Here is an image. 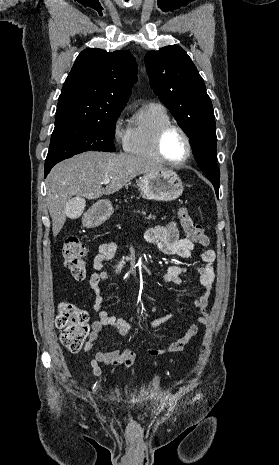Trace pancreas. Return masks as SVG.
Listing matches in <instances>:
<instances>
[{
	"label": "pancreas",
	"instance_id": "cf45deb5",
	"mask_svg": "<svg viewBox=\"0 0 279 465\" xmlns=\"http://www.w3.org/2000/svg\"><path fill=\"white\" fill-rule=\"evenodd\" d=\"M142 214H146V213L144 211H142ZM148 218L150 219V218H154V217L152 215H149Z\"/></svg>",
	"mask_w": 279,
	"mask_h": 465
}]
</instances>
